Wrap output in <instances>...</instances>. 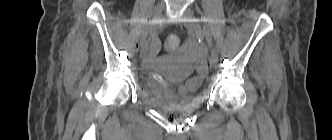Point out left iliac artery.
Listing matches in <instances>:
<instances>
[{"label": "left iliac artery", "mask_w": 332, "mask_h": 140, "mask_svg": "<svg viewBox=\"0 0 332 140\" xmlns=\"http://www.w3.org/2000/svg\"><path fill=\"white\" fill-rule=\"evenodd\" d=\"M194 21L196 22V32L199 36H204L207 43L210 46L211 49V55L218 61V55L217 52L215 50V48L213 47V43H212V38L211 35L209 33V31L207 29H205L202 25V21L198 18H195Z\"/></svg>", "instance_id": "44dca946"}]
</instances>
